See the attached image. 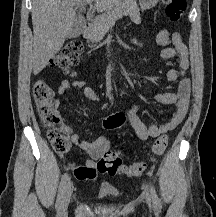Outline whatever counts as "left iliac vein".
<instances>
[{
    "label": "left iliac vein",
    "instance_id": "1",
    "mask_svg": "<svg viewBox=\"0 0 216 217\" xmlns=\"http://www.w3.org/2000/svg\"><path fill=\"white\" fill-rule=\"evenodd\" d=\"M146 201H147L148 205H151V199L148 195H146Z\"/></svg>",
    "mask_w": 216,
    "mask_h": 217
}]
</instances>
